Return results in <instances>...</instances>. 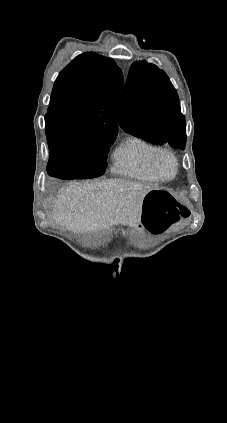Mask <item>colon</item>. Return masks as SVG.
<instances>
[{
  "label": "colon",
  "instance_id": "1",
  "mask_svg": "<svg viewBox=\"0 0 227 423\" xmlns=\"http://www.w3.org/2000/svg\"><path fill=\"white\" fill-rule=\"evenodd\" d=\"M187 215V208L168 190L154 189L144 199L142 222L151 232H161Z\"/></svg>",
  "mask_w": 227,
  "mask_h": 423
}]
</instances>
